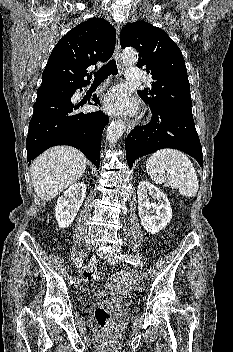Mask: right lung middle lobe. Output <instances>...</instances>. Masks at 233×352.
Returning <instances> with one entry per match:
<instances>
[{
  "label": "right lung middle lobe",
  "instance_id": "dd1d6c3e",
  "mask_svg": "<svg viewBox=\"0 0 233 352\" xmlns=\"http://www.w3.org/2000/svg\"><path fill=\"white\" fill-rule=\"evenodd\" d=\"M75 89L64 86L40 87L36 100L61 99L72 96Z\"/></svg>",
  "mask_w": 233,
  "mask_h": 352
}]
</instances>
